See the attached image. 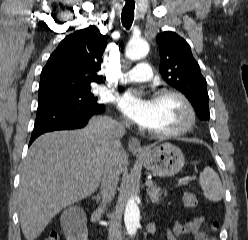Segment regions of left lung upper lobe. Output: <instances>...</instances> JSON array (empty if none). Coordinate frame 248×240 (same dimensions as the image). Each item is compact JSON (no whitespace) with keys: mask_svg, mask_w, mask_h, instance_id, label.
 Returning <instances> with one entry per match:
<instances>
[{"mask_svg":"<svg viewBox=\"0 0 248 240\" xmlns=\"http://www.w3.org/2000/svg\"><path fill=\"white\" fill-rule=\"evenodd\" d=\"M156 42L161 59L159 71L163 79L185 94L199 119L209 120L207 82L189 44L171 31L158 34Z\"/></svg>","mask_w":248,"mask_h":240,"instance_id":"left-lung-upper-lobe-1","label":"left lung upper lobe"}]
</instances>
